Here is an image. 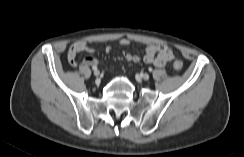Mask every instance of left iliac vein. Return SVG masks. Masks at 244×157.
Masks as SVG:
<instances>
[{
	"label": "left iliac vein",
	"mask_w": 244,
	"mask_h": 157,
	"mask_svg": "<svg viewBox=\"0 0 244 157\" xmlns=\"http://www.w3.org/2000/svg\"><path fill=\"white\" fill-rule=\"evenodd\" d=\"M141 78L144 80V81H147L149 79V75L147 73H143L141 74Z\"/></svg>",
	"instance_id": "4c4485c4"
}]
</instances>
